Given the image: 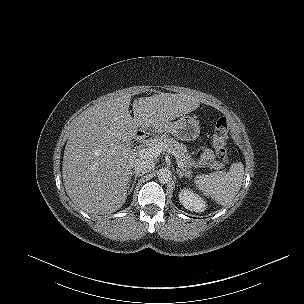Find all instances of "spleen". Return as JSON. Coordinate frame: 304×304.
Listing matches in <instances>:
<instances>
[{"label": "spleen", "instance_id": "3e777b00", "mask_svg": "<svg viewBox=\"0 0 304 304\" xmlns=\"http://www.w3.org/2000/svg\"><path fill=\"white\" fill-rule=\"evenodd\" d=\"M244 178V166L241 162L233 163L230 170L210 175L195 177L196 187L215 200L218 204L227 205L237 195Z\"/></svg>", "mask_w": 304, "mask_h": 304}]
</instances>
